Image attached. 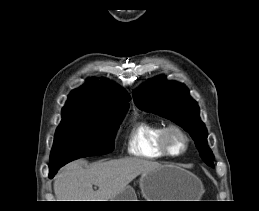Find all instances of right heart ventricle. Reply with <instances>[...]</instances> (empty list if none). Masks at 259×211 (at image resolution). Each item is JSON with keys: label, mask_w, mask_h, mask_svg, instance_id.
I'll return each instance as SVG.
<instances>
[{"label": "right heart ventricle", "mask_w": 259, "mask_h": 211, "mask_svg": "<svg viewBox=\"0 0 259 211\" xmlns=\"http://www.w3.org/2000/svg\"><path fill=\"white\" fill-rule=\"evenodd\" d=\"M164 124L159 121L141 119L135 121L129 129L127 137V151L130 155L156 160L166 158L161 149L160 135Z\"/></svg>", "instance_id": "obj_1"}]
</instances>
